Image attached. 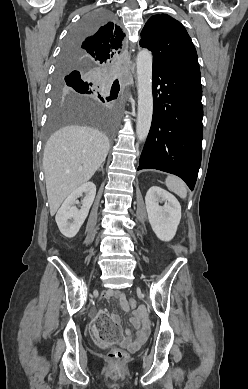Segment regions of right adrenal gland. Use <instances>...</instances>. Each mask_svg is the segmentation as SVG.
Listing matches in <instances>:
<instances>
[{
    "label": "right adrenal gland",
    "instance_id": "1",
    "mask_svg": "<svg viewBox=\"0 0 248 389\" xmlns=\"http://www.w3.org/2000/svg\"><path fill=\"white\" fill-rule=\"evenodd\" d=\"M103 165H104V163L100 166V168H99L100 171L103 170Z\"/></svg>",
    "mask_w": 248,
    "mask_h": 389
}]
</instances>
